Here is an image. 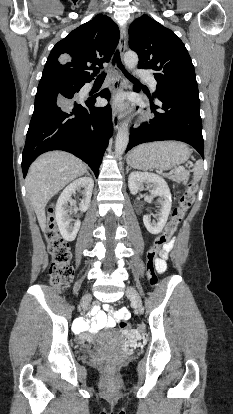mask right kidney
Wrapping results in <instances>:
<instances>
[{
	"instance_id": "1",
	"label": "right kidney",
	"mask_w": 233,
	"mask_h": 414,
	"mask_svg": "<svg viewBox=\"0 0 233 414\" xmlns=\"http://www.w3.org/2000/svg\"><path fill=\"white\" fill-rule=\"evenodd\" d=\"M93 186L94 181L91 177L79 178L70 183L63 190V192L60 194L57 200L55 208L56 222L60 234L67 241H73L76 238L81 225L80 220H77L74 223H72V219L70 218L68 203H70V205L75 203L71 196L76 192V190L84 188L83 199L80 202V210L81 212H85L88 210L90 205Z\"/></svg>"
}]
</instances>
